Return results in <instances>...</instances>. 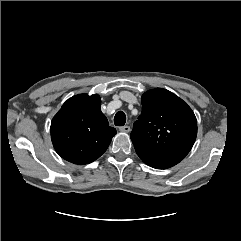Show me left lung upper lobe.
<instances>
[{
    "instance_id": "obj_1",
    "label": "left lung upper lobe",
    "mask_w": 241,
    "mask_h": 241,
    "mask_svg": "<svg viewBox=\"0 0 241 241\" xmlns=\"http://www.w3.org/2000/svg\"><path fill=\"white\" fill-rule=\"evenodd\" d=\"M141 100L142 113L130 135L134 146L186 156L197 135V121L191 108L163 88L145 92Z\"/></svg>"
}]
</instances>
